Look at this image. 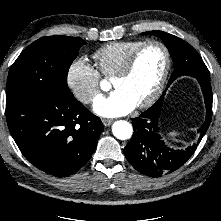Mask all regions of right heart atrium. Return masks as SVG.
Returning <instances> with one entry per match:
<instances>
[{
	"label": "right heart atrium",
	"mask_w": 221,
	"mask_h": 221,
	"mask_svg": "<svg viewBox=\"0 0 221 221\" xmlns=\"http://www.w3.org/2000/svg\"><path fill=\"white\" fill-rule=\"evenodd\" d=\"M67 84L76 99L91 103L100 93L99 71L85 58H77L68 68Z\"/></svg>",
	"instance_id": "1"
}]
</instances>
